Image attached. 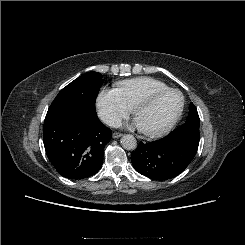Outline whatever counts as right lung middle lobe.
<instances>
[{
  "instance_id": "obj_1",
  "label": "right lung middle lobe",
  "mask_w": 245,
  "mask_h": 245,
  "mask_svg": "<svg viewBox=\"0 0 245 245\" xmlns=\"http://www.w3.org/2000/svg\"><path fill=\"white\" fill-rule=\"evenodd\" d=\"M102 77L93 71L78 77L58 93L48 111L72 107L96 113L95 101L103 83Z\"/></svg>"
}]
</instances>
